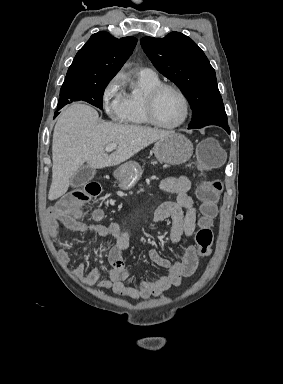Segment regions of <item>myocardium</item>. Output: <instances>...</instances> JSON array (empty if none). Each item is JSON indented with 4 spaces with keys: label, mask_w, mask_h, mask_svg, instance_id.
I'll return each mask as SVG.
<instances>
[{
    "label": "myocardium",
    "mask_w": 283,
    "mask_h": 384,
    "mask_svg": "<svg viewBox=\"0 0 283 384\" xmlns=\"http://www.w3.org/2000/svg\"><path fill=\"white\" fill-rule=\"evenodd\" d=\"M165 90H171L176 93L183 103V116L180 121L172 125L161 124L154 115V105L158 96ZM143 113L146 121L151 126L161 130H174L181 127L188 119L189 116V103L185 94L176 86L167 83H160L149 90L143 98Z\"/></svg>",
    "instance_id": "obj_1"
}]
</instances>
